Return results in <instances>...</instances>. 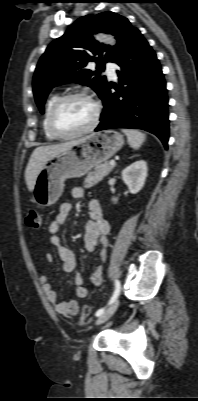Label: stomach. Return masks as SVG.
Masks as SVG:
<instances>
[{"label": "stomach", "instance_id": "0dacf381", "mask_svg": "<svg viewBox=\"0 0 198 401\" xmlns=\"http://www.w3.org/2000/svg\"><path fill=\"white\" fill-rule=\"evenodd\" d=\"M124 144L115 130L92 133L49 159L37 176L34 200L41 207L55 204L67 179L79 178L110 159Z\"/></svg>", "mask_w": 198, "mask_h": 401}]
</instances>
